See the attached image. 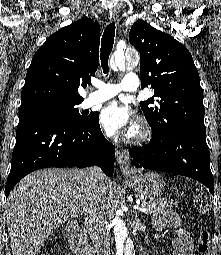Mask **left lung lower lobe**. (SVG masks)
<instances>
[{"instance_id": "left-lung-lower-lobe-1", "label": "left lung lower lobe", "mask_w": 221, "mask_h": 255, "mask_svg": "<svg viewBox=\"0 0 221 255\" xmlns=\"http://www.w3.org/2000/svg\"><path fill=\"white\" fill-rule=\"evenodd\" d=\"M206 131L179 126L169 132L152 133L147 145L129 149L139 168L184 175L198 180L214 194Z\"/></svg>"}]
</instances>
